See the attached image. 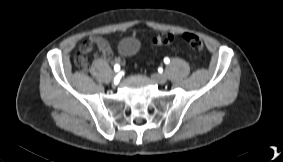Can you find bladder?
Here are the masks:
<instances>
[{"mask_svg":"<svg viewBox=\"0 0 283 162\" xmlns=\"http://www.w3.org/2000/svg\"><path fill=\"white\" fill-rule=\"evenodd\" d=\"M138 43L132 38H125L120 42L119 52L123 56H131L138 50Z\"/></svg>","mask_w":283,"mask_h":162,"instance_id":"obj_1","label":"bladder"}]
</instances>
